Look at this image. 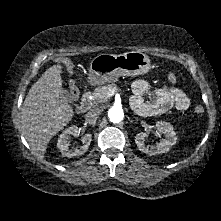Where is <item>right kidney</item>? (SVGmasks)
<instances>
[{
    "label": "right kidney",
    "instance_id": "1",
    "mask_svg": "<svg viewBox=\"0 0 221 221\" xmlns=\"http://www.w3.org/2000/svg\"><path fill=\"white\" fill-rule=\"evenodd\" d=\"M78 133V127L72 126L67 128L63 133L60 135L57 143V147L59 148L61 154L66 157H75L84 154L91 143L92 135L87 133L82 138L83 145L80 148L76 149H69L68 147V139L71 136H76Z\"/></svg>",
    "mask_w": 221,
    "mask_h": 221
}]
</instances>
